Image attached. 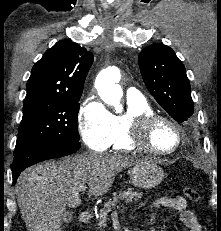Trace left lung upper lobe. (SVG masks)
Instances as JSON below:
<instances>
[{
  "label": "left lung upper lobe",
  "instance_id": "obj_1",
  "mask_svg": "<svg viewBox=\"0 0 221 231\" xmlns=\"http://www.w3.org/2000/svg\"><path fill=\"white\" fill-rule=\"evenodd\" d=\"M146 87L160 106L177 122L187 121L194 105L183 63L163 44L144 48L138 57Z\"/></svg>",
  "mask_w": 221,
  "mask_h": 231
}]
</instances>
